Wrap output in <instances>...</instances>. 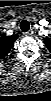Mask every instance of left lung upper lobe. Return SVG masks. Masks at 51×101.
Masks as SVG:
<instances>
[{"label": "left lung upper lobe", "instance_id": "1", "mask_svg": "<svg viewBox=\"0 0 51 101\" xmlns=\"http://www.w3.org/2000/svg\"><path fill=\"white\" fill-rule=\"evenodd\" d=\"M44 43L47 46L48 50L51 51V40L49 38L44 39Z\"/></svg>", "mask_w": 51, "mask_h": 101}]
</instances>
